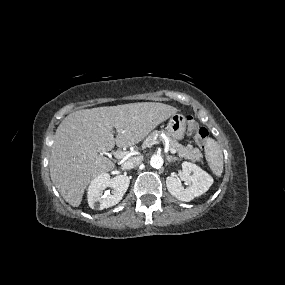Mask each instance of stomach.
Here are the masks:
<instances>
[{
  "label": "stomach",
  "mask_w": 285,
  "mask_h": 285,
  "mask_svg": "<svg viewBox=\"0 0 285 285\" xmlns=\"http://www.w3.org/2000/svg\"><path fill=\"white\" fill-rule=\"evenodd\" d=\"M169 137L173 140H182L186 131V119L182 114H174L166 127Z\"/></svg>",
  "instance_id": "0dacf381"
}]
</instances>
